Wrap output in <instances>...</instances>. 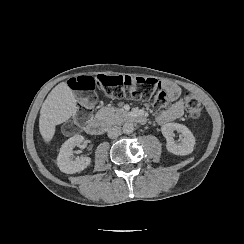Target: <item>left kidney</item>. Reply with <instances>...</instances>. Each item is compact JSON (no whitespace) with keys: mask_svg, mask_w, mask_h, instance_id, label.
<instances>
[{"mask_svg":"<svg viewBox=\"0 0 244 244\" xmlns=\"http://www.w3.org/2000/svg\"><path fill=\"white\" fill-rule=\"evenodd\" d=\"M161 130L163 136L167 139L166 149L168 152L178 156H186L193 152L195 137L186 126L178 123H167L162 126ZM174 131L183 135L181 144L174 142L172 137Z\"/></svg>","mask_w":244,"mask_h":244,"instance_id":"obj_1","label":"left kidney"}]
</instances>
